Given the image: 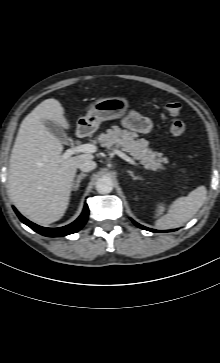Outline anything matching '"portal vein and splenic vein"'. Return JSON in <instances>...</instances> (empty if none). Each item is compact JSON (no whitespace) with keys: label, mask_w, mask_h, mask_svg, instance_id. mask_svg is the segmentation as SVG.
Instances as JSON below:
<instances>
[{"label":"portal vein and splenic vein","mask_w":220,"mask_h":363,"mask_svg":"<svg viewBox=\"0 0 220 363\" xmlns=\"http://www.w3.org/2000/svg\"><path fill=\"white\" fill-rule=\"evenodd\" d=\"M97 151V147L93 144H81V145H77L75 147H72L70 149H67L64 153H63V158L67 159L69 157H71L74 154L77 153H95ZM114 152L121 157L122 159H124L125 161H127L128 163L138 166V164L129 156H127L125 153L119 151V150H114Z\"/></svg>","instance_id":"portal-vein-and-splenic-vein-1"}]
</instances>
